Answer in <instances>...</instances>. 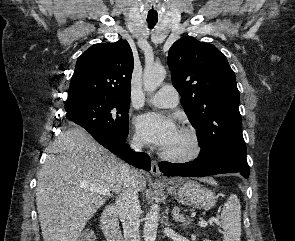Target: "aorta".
<instances>
[{
    "label": "aorta",
    "instance_id": "762f6f07",
    "mask_svg": "<svg viewBox=\"0 0 295 241\" xmlns=\"http://www.w3.org/2000/svg\"><path fill=\"white\" fill-rule=\"evenodd\" d=\"M166 70L161 65L147 66L143 74V86L148 92H154L164 81ZM159 220V208L154 206L148 212L144 224V240L155 241L157 237V228Z\"/></svg>",
    "mask_w": 295,
    "mask_h": 241
}]
</instances>
